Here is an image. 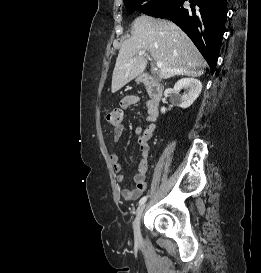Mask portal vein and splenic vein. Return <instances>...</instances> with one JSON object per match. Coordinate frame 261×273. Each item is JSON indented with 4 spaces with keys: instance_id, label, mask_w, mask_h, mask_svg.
Instances as JSON below:
<instances>
[{
    "instance_id": "obj_1",
    "label": "portal vein and splenic vein",
    "mask_w": 261,
    "mask_h": 273,
    "mask_svg": "<svg viewBox=\"0 0 261 273\" xmlns=\"http://www.w3.org/2000/svg\"><path fill=\"white\" fill-rule=\"evenodd\" d=\"M144 54H145V50H142V51H140V52L138 53L139 56H142V55H144ZM156 66H157L158 68H162L163 64H162V62H157V63H156Z\"/></svg>"
}]
</instances>
